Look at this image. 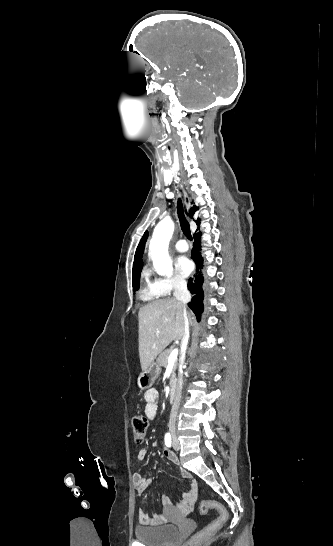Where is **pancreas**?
Listing matches in <instances>:
<instances>
[{"instance_id":"pancreas-1","label":"pancreas","mask_w":333,"mask_h":546,"mask_svg":"<svg viewBox=\"0 0 333 546\" xmlns=\"http://www.w3.org/2000/svg\"><path fill=\"white\" fill-rule=\"evenodd\" d=\"M172 348H169V349H166L164 351H162L158 358H157V362L160 364L161 367H164L166 368L167 365H168V357L170 355V353L172 352ZM177 365H178V362H177V359L174 363V367H173V371H172V376L174 377L175 376V371L177 369Z\"/></svg>"}]
</instances>
